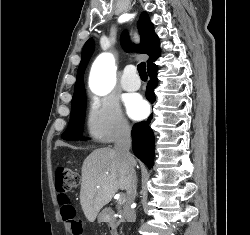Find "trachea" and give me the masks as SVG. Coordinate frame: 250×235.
Masks as SVG:
<instances>
[{"instance_id": "obj_1", "label": "trachea", "mask_w": 250, "mask_h": 235, "mask_svg": "<svg viewBox=\"0 0 250 235\" xmlns=\"http://www.w3.org/2000/svg\"><path fill=\"white\" fill-rule=\"evenodd\" d=\"M137 70L139 72L140 77H147V72H146V63L141 62L137 66Z\"/></svg>"}]
</instances>
